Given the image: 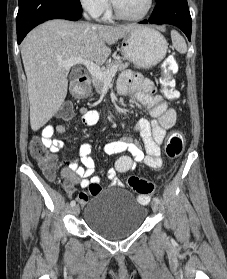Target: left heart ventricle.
<instances>
[{
	"mask_svg": "<svg viewBox=\"0 0 227 279\" xmlns=\"http://www.w3.org/2000/svg\"><path fill=\"white\" fill-rule=\"evenodd\" d=\"M117 7L125 14L138 15L147 6V0H114Z\"/></svg>",
	"mask_w": 227,
	"mask_h": 279,
	"instance_id": "left-heart-ventricle-1",
	"label": "left heart ventricle"
}]
</instances>
